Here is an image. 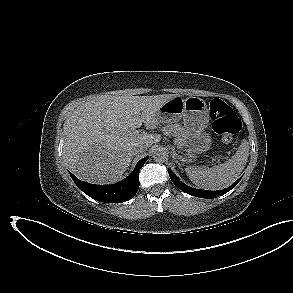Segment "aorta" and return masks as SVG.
<instances>
[{
  "instance_id": "1",
  "label": "aorta",
  "mask_w": 293,
  "mask_h": 293,
  "mask_svg": "<svg viewBox=\"0 0 293 293\" xmlns=\"http://www.w3.org/2000/svg\"><path fill=\"white\" fill-rule=\"evenodd\" d=\"M166 157L167 153L163 148H157L153 153V159L157 162L163 161L164 159H166Z\"/></svg>"
}]
</instances>
